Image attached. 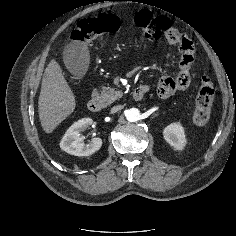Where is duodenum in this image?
<instances>
[{"instance_id":"obj_1","label":"duodenum","mask_w":236,"mask_h":236,"mask_svg":"<svg viewBox=\"0 0 236 236\" xmlns=\"http://www.w3.org/2000/svg\"><path fill=\"white\" fill-rule=\"evenodd\" d=\"M147 91H148L147 87L139 86V87L134 89L133 97L135 99L139 100L146 94ZM101 107H102V102H101L100 98L97 95L93 96L88 102V108L92 112L100 111Z\"/></svg>"}]
</instances>
